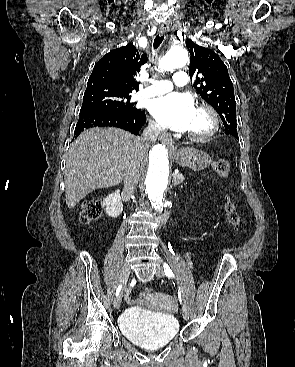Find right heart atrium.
I'll use <instances>...</instances> for the list:
<instances>
[{
	"label": "right heart atrium",
	"mask_w": 295,
	"mask_h": 367,
	"mask_svg": "<svg viewBox=\"0 0 295 367\" xmlns=\"http://www.w3.org/2000/svg\"><path fill=\"white\" fill-rule=\"evenodd\" d=\"M150 129L155 132V133H160L161 132V126L156 123L155 121H150Z\"/></svg>",
	"instance_id": "1"
}]
</instances>
